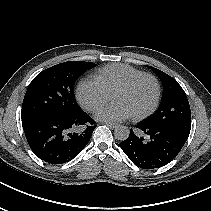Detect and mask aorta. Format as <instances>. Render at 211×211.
<instances>
[{
	"instance_id": "762f6f07",
	"label": "aorta",
	"mask_w": 211,
	"mask_h": 211,
	"mask_svg": "<svg viewBox=\"0 0 211 211\" xmlns=\"http://www.w3.org/2000/svg\"><path fill=\"white\" fill-rule=\"evenodd\" d=\"M129 129L126 126L123 125H119L117 127H115L114 130V136L116 139L120 140V141H124L129 137Z\"/></svg>"
}]
</instances>
